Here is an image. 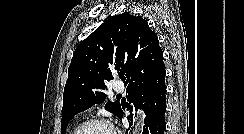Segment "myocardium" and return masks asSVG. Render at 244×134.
Masks as SVG:
<instances>
[{
	"instance_id": "f54148a6",
	"label": "myocardium",
	"mask_w": 244,
	"mask_h": 134,
	"mask_svg": "<svg viewBox=\"0 0 244 134\" xmlns=\"http://www.w3.org/2000/svg\"><path fill=\"white\" fill-rule=\"evenodd\" d=\"M93 125H102L105 126L107 128H109L113 134H118L116 129L113 127V125L105 120V119H100V118H93V119H89L83 123H81L80 125L77 126V128L75 129L73 134H82V132L87 129L90 126Z\"/></svg>"
}]
</instances>
